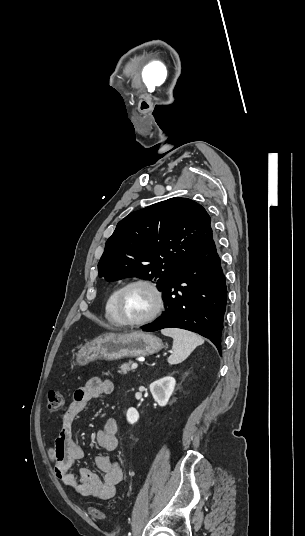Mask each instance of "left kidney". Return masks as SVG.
<instances>
[{
  "mask_svg": "<svg viewBox=\"0 0 305 536\" xmlns=\"http://www.w3.org/2000/svg\"><path fill=\"white\" fill-rule=\"evenodd\" d=\"M175 386L176 380H174L172 376H165V378H160V380H156V382L150 384V392L159 406H166L170 396H172L174 392ZM126 416L130 424H135V422H138L139 420V414L135 408H129Z\"/></svg>",
  "mask_w": 305,
  "mask_h": 536,
  "instance_id": "5707ae66",
  "label": "left kidney"
}]
</instances>
